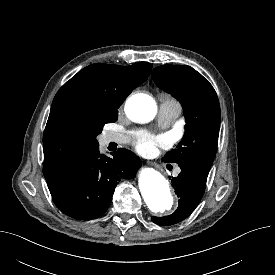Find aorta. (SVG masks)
Returning a JSON list of instances; mask_svg holds the SVG:
<instances>
[{
	"label": "aorta",
	"instance_id": "1",
	"mask_svg": "<svg viewBox=\"0 0 275 275\" xmlns=\"http://www.w3.org/2000/svg\"><path fill=\"white\" fill-rule=\"evenodd\" d=\"M129 119L137 123L151 121L157 112L155 100L147 94H136L130 97L125 105ZM138 185L148 208L154 213H162L172 208L174 196L168 181L153 168H143L138 177Z\"/></svg>",
	"mask_w": 275,
	"mask_h": 275
}]
</instances>
